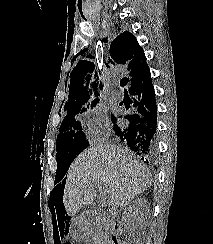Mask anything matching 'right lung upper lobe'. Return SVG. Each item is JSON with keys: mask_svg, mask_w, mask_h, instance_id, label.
<instances>
[{"mask_svg": "<svg viewBox=\"0 0 213 244\" xmlns=\"http://www.w3.org/2000/svg\"><path fill=\"white\" fill-rule=\"evenodd\" d=\"M110 58L113 63L128 66L131 86L149 68L144 50L136 37L128 31H124L113 40L110 45ZM102 88L92 57L87 56V59L77 63L70 74L69 95L64 110L98 100H93V97H98V91Z\"/></svg>", "mask_w": 213, "mask_h": 244, "instance_id": "1", "label": "right lung upper lobe"}]
</instances>
